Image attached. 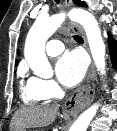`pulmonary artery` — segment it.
<instances>
[{"mask_svg":"<svg viewBox=\"0 0 117 131\" xmlns=\"http://www.w3.org/2000/svg\"><path fill=\"white\" fill-rule=\"evenodd\" d=\"M45 50L49 56L54 57L63 52L64 45L60 40L53 39L47 42Z\"/></svg>","mask_w":117,"mask_h":131,"instance_id":"e3ab8cb5","label":"pulmonary artery"}]
</instances>
